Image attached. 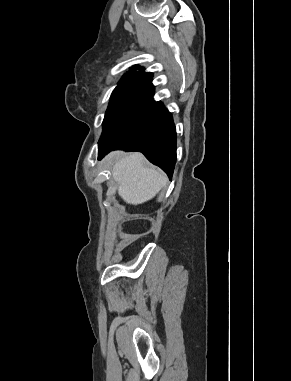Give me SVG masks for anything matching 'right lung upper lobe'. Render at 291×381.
<instances>
[{
  "label": "right lung upper lobe",
  "mask_w": 291,
  "mask_h": 381,
  "mask_svg": "<svg viewBox=\"0 0 291 381\" xmlns=\"http://www.w3.org/2000/svg\"><path fill=\"white\" fill-rule=\"evenodd\" d=\"M133 69L132 71H128L121 79V81L118 84L124 83L129 80L133 79H142L146 75H150L151 73H146L144 70L136 71L135 69H141L140 66L135 65L131 67Z\"/></svg>",
  "instance_id": "cb5924a9"
}]
</instances>
